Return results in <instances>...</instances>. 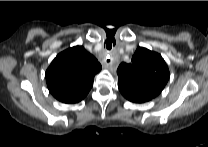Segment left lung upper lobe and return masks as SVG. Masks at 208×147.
Here are the masks:
<instances>
[{"instance_id":"1","label":"left lung upper lobe","mask_w":208,"mask_h":147,"mask_svg":"<svg viewBox=\"0 0 208 147\" xmlns=\"http://www.w3.org/2000/svg\"><path fill=\"white\" fill-rule=\"evenodd\" d=\"M120 90L136 92L152 99L169 79V70L160 54L138 47L130 63H121L117 69Z\"/></svg>"}]
</instances>
